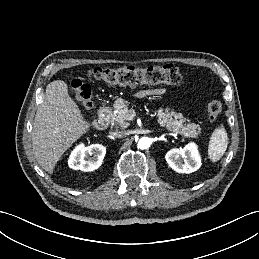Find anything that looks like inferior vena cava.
Wrapping results in <instances>:
<instances>
[{
    "label": "inferior vena cava",
    "instance_id": "inferior-vena-cava-1",
    "mask_svg": "<svg viewBox=\"0 0 259 259\" xmlns=\"http://www.w3.org/2000/svg\"><path fill=\"white\" fill-rule=\"evenodd\" d=\"M112 135H114L115 137H118V138H123L126 136V132L125 131H118L116 130L115 132H111Z\"/></svg>",
    "mask_w": 259,
    "mask_h": 259
}]
</instances>
